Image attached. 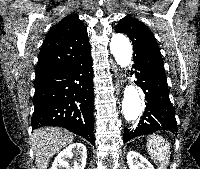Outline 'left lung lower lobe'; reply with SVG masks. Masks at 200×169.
<instances>
[{
  "label": "left lung lower lobe",
  "instance_id": "0a47b994",
  "mask_svg": "<svg viewBox=\"0 0 200 169\" xmlns=\"http://www.w3.org/2000/svg\"><path fill=\"white\" fill-rule=\"evenodd\" d=\"M134 73L146 100V108L139 124L133 129H124L123 141L158 130H169L177 134L175 109L169 99L166 76L148 66L134 64Z\"/></svg>",
  "mask_w": 200,
  "mask_h": 169
}]
</instances>
